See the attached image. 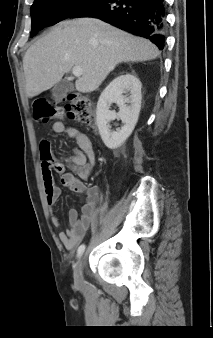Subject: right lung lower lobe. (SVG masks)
Masks as SVG:
<instances>
[{
    "label": "right lung lower lobe",
    "mask_w": 213,
    "mask_h": 338,
    "mask_svg": "<svg viewBox=\"0 0 213 338\" xmlns=\"http://www.w3.org/2000/svg\"><path fill=\"white\" fill-rule=\"evenodd\" d=\"M99 18L115 27L164 47V0H95L71 15Z\"/></svg>",
    "instance_id": "obj_1"
}]
</instances>
